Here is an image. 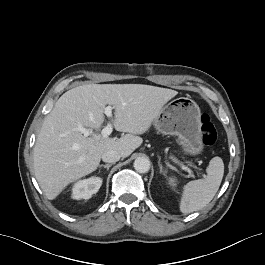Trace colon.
Masks as SVG:
<instances>
[{"label":"colon","instance_id":"1","mask_svg":"<svg viewBox=\"0 0 265 265\" xmlns=\"http://www.w3.org/2000/svg\"><path fill=\"white\" fill-rule=\"evenodd\" d=\"M201 135L203 143L206 146H211L217 139V131L214 123L208 115L201 117Z\"/></svg>","mask_w":265,"mask_h":265}]
</instances>
